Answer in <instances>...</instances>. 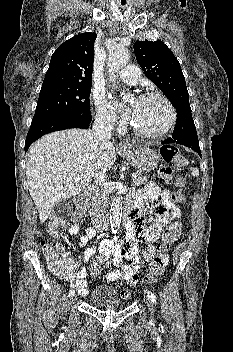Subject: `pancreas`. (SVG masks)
Wrapping results in <instances>:
<instances>
[{"instance_id": "cf45deb5", "label": "pancreas", "mask_w": 233, "mask_h": 352, "mask_svg": "<svg viewBox=\"0 0 233 352\" xmlns=\"http://www.w3.org/2000/svg\"><path fill=\"white\" fill-rule=\"evenodd\" d=\"M147 181L146 176L138 175L136 178H133V184L136 186L143 185Z\"/></svg>"}]
</instances>
